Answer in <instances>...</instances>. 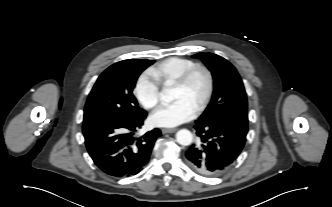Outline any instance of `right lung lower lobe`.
<instances>
[{"instance_id":"98d812e1","label":"right lung lower lobe","mask_w":332,"mask_h":207,"mask_svg":"<svg viewBox=\"0 0 332 207\" xmlns=\"http://www.w3.org/2000/svg\"><path fill=\"white\" fill-rule=\"evenodd\" d=\"M145 112L138 118L122 122L100 120L83 125L87 150L94 163L114 177H129L139 173L148 163L159 129L134 138L133 132L141 128Z\"/></svg>"}]
</instances>
